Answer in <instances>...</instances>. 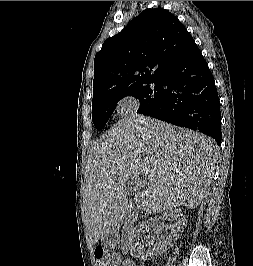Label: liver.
<instances>
[{
	"label": "liver",
	"mask_w": 253,
	"mask_h": 266,
	"mask_svg": "<svg viewBox=\"0 0 253 266\" xmlns=\"http://www.w3.org/2000/svg\"><path fill=\"white\" fill-rule=\"evenodd\" d=\"M217 146L207 136L144 117L119 121L94 143L85 173L84 210L95 244L127 219L129 179L141 180L133 204L145 214L195 209L212 179Z\"/></svg>",
	"instance_id": "6515ba94"
}]
</instances>
